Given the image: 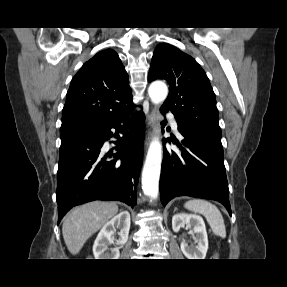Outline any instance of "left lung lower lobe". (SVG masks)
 <instances>
[{
	"label": "left lung lower lobe",
	"mask_w": 287,
	"mask_h": 287,
	"mask_svg": "<svg viewBox=\"0 0 287 287\" xmlns=\"http://www.w3.org/2000/svg\"><path fill=\"white\" fill-rule=\"evenodd\" d=\"M163 114L166 111L161 110ZM184 139L173 141L180 153L164 149L160 176L161 202L165 206L178 196L216 200L230 215L229 188L223 159V148L178 125ZM169 141L170 139H166Z\"/></svg>",
	"instance_id": "0a47b994"
}]
</instances>
